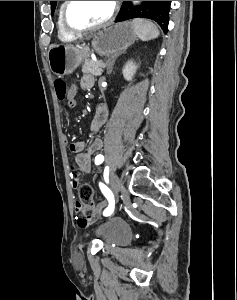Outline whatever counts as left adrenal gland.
<instances>
[{
  "mask_svg": "<svg viewBox=\"0 0 237 300\" xmlns=\"http://www.w3.org/2000/svg\"><path fill=\"white\" fill-rule=\"evenodd\" d=\"M119 55H122V53H117V55H115V57H108V59L106 61L107 65H108V71H107L108 75H111L113 65H114L116 59H118Z\"/></svg>",
  "mask_w": 237,
  "mask_h": 300,
  "instance_id": "left-adrenal-gland-1",
  "label": "left adrenal gland"
}]
</instances>
